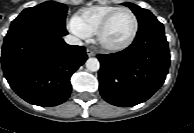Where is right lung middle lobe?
<instances>
[{
    "label": "right lung middle lobe",
    "instance_id": "obj_1",
    "mask_svg": "<svg viewBox=\"0 0 194 133\" xmlns=\"http://www.w3.org/2000/svg\"><path fill=\"white\" fill-rule=\"evenodd\" d=\"M66 13V5L54 1H47L35 7L24 9L21 14L12 21L10 28L21 24L38 22H52L65 25Z\"/></svg>",
    "mask_w": 194,
    "mask_h": 133
}]
</instances>
